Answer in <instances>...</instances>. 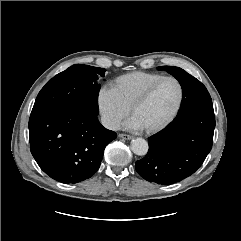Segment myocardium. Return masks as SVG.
Masks as SVG:
<instances>
[{"label": "myocardium", "mask_w": 241, "mask_h": 241, "mask_svg": "<svg viewBox=\"0 0 241 241\" xmlns=\"http://www.w3.org/2000/svg\"><path fill=\"white\" fill-rule=\"evenodd\" d=\"M165 81H173L177 84L178 89H179V97H178V101L177 104L175 106V108L173 109V111L171 112V114L164 120L162 121L160 124L153 126V127H149V128H145V130L148 133H156L159 132L161 130H163L165 127H167L171 122H173V120L177 117L182 104H183V100H184V88L182 83L180 82L179 79H177L174 76H163L162 78L156 80L155 82H153L150 86H148L136 99L135 101L132 103L131 107H130V111L132 113V115L134 114L135 110L141 106L142 104H144L153 94V92L155 91V89L163 82Z\"/></svg>", "instance_id": "f54148a6"}]
</instances>
